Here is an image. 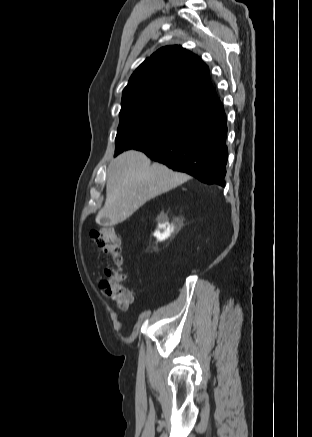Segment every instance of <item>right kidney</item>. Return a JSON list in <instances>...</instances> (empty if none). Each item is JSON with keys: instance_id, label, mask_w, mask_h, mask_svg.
Listing matches in <instances>:
<instances>
[{"instance_id": "ca27d5eb", "label": "right kidney", "mask_w": 312, "mask_h": 437, "mask_svg": "<svg viewBox=\"0 0 312 437\" xmlns=\"http://www.w3.org/2000/svg\"><path fill=\"white\" fill-rule=\"evenodd\" d=\"M173 231V226L169 223L159 224L158 229L155 231L154 236L157 237L159 241L165 240L170 236Z\"/></svg>"}]
</instances>
